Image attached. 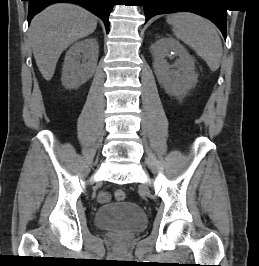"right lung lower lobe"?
Returning a JSON list of instances; mask_svg holds the SVG:
<instances>
[{
  "mask_svg": "<svg viewBox=\"0 0 259 266\" xmlns=\"http://www.w3.org/2000/svg\"><path fill=\"white\" fill-rule=\"evenodd\" d=\"M29 1L28 22L31 21L34 15L42 11L46 6L52 3H74L81 5L88 9L98 17H100L105 24L107 32L109 31V14L114 6L115 0H26Z\"/></svg>",
  "mask_w": 259,
  "mask_h": 266,
  "instance_id": "right-lung-lower-lobe-1",
  "label": "right lung lower lobe"
}]
</instances>
